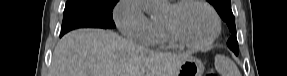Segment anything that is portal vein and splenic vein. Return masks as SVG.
Returning a JSON list of instances; mask_svg holds the SVG:
<instances>
[{
  "label": "portal vein and splenic vein",
  "instance_id": "18ae733b",
  "mask_svg": "<svg viewBox=\"0 0 287 76\" xmlns=\"http://www.w3.org/2000/svg\"><path fill=\"white\" fill-rule=\"evenodd\" d=\"M135 76H142V74H140V75H135Z\"/></svg>",
  "mask_w": 287,
  "mask_h": 76
}]
</instances>
